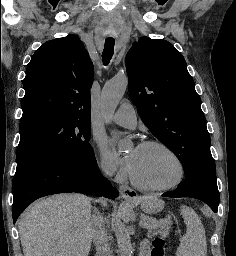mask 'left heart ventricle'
Returning a JSON list of instances; mask_svg holds the SVG:
<instances>
[{
	"label": "left heart ventricle",
	"instance_id": "left-heart-ventricle-1",
	"mask_svg": "<svg viewBox=\"0 0 236 256\" xmlns=\"http://www.w3.org/2000/svg\"><path fill=\"white\" fill-rule=\"evenodd\" d=\"M129 167L143 185L160 187L173 182L179 175L175 159L161 148H136L130 153Z\"/></svg>",
	"mask_w": 236,
	"mask_h": 256
}]
</instances>
